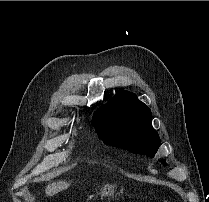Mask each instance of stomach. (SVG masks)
I'll use <instances>...</instances> for the list:
<instances>
[{
	"instance_id": "1",
	"label": "stomach",
	"mask_w": 209,
	"mask_h": 202,
	"mask_svg": "<svg viewBox=\"0 0 209 202\" xmlns=\"http://www.w3.org/2000/svg\"><path fill=\"white\" fill-rule=\"evenodd\" d=\"M116 192V187L112 185H104L99 188L97 195L101 198H111Z\"/></svg>"
}]
</instances>
